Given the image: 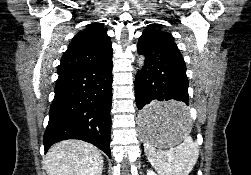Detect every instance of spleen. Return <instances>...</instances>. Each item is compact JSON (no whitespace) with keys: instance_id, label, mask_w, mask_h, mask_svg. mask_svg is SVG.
<instances>
[{"instance_id":"1","label":"spleen","mask_w":251,"mask_h":175,"mask_svg":"<svg viewBox=\"0 0 251 175\" xmlns=\"http://www.w3.org/2000/svg\"><path fill=\"white\" fill-rule=\"evenodd\" d=\"M169 115H152L149 119V135L150 139H146L144 149L146 155L157 169L159 175H188L193 165H195L199 155V145L193 141L189 135L192 129V123L187 115L186 109H181V115L178 117L179 129L182 133V143L176 145L172 151H156V143L160 141L161 135L168 123ZM154 137V139H151Z\"/></svg>"}]
</instances>
